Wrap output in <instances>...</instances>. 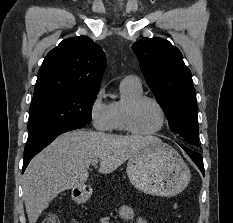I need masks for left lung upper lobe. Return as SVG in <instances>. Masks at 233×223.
<instances>
[{
  "mask_svg": "<svg viewBox=\"0 0 233 223\" xmlns=\"http://www.w3.org/2000/svg\"><path fill=\"white\" fill-rule=\"evenodd\" d=\"M132 49L171 130L198 146L196 93L179 49L161 38H144L135 42Z\"/></svg>",
  "mask_w": 233,
  "mask_h": 223,
  "instance_id": "1",
  "label": "left lung upper lobe"
}]
</instances>
